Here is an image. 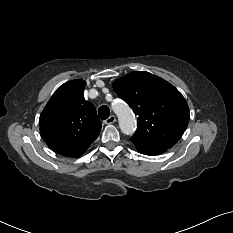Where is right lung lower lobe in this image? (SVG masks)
I'll list each match as a JSON object with an SVG mask.
<instances>
[{"label": "right lung lower lobe", "mask_w": 233, "mask_h": 233, "mask_svg": "<svg viewBox=\"0 0 233 233\" xmlns=\"http://www.w3.org/2000/svg\"><path fill=\"white\" fill-rule=\"evenodd\" d=\"M86 150L87 148L79 149V150H63V151H59L56 153L61 154L63 156H67V157H78L81 154H83Z\"/></svg>", "instance_id": "98d812e1"}]
</instances>
